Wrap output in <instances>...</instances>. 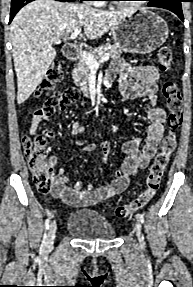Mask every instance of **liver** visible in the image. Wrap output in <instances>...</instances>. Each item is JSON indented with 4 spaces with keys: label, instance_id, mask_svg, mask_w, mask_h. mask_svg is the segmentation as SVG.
I'll return each mask as SVG.
<instances>
[{
    "label": "liver",
    "instance_id": "liver-1",
    "mask_svg": "<svg viewBox=\"0 0 193 287\" xmlns=\"http://www.w3.org/2000/svg\"><path fill=\"white\" fill-rule=\"evenodd\" d=\"M131 13L55 0H35L24 6L10 25L18 104L31 96L55 59L54 42L81 27L89 39H98Z\"/></svg>",
    "mask_w": 193,
    "mask_h": 287
}]
</instances>
